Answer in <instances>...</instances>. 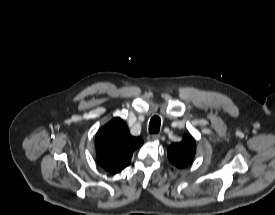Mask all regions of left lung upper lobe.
<instances>
[{
    "instance_id": "left-lung-upper-lobe-1",
    "label": "left lung upper lobe",
    "mask_w": 275,
    "mask_h": 215,
    "mask_svg": "<svg viewBox=\"0 0 275 215\" xmlns=\"http://www.w3.org/2000/svg\"><path fill=\"white\" fill-rule=\"evenodd\" d=\"M195 151V140L191 136H185L180 143L168 147V159L178 168H184L192 162Z\"/></svg>"
}]
</instances>
